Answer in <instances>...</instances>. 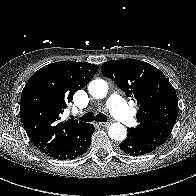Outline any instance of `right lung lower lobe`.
I'll list each match as a JSON object with an SVG mask.
<instances>
[{
    "label": "right lung lower lobe",
    "instance_id": "right-lung-lower-lobe-1",
    "mask_svg": "<svg viewBox=\"0 0 196 196\" xmlns=\"http://www.w3.org/2000/svg\"><path fill=\"white\" fill-rule=\"evenodd\" d=\"M94 131V126L87 123L81 130L76 132L65 145L48 153V155L58 160H65L74 159L84 154L90 147L91 136Z\"/></svg>",
    "mask_w": 196,
    "mask_h": 196
}]
</instances>
